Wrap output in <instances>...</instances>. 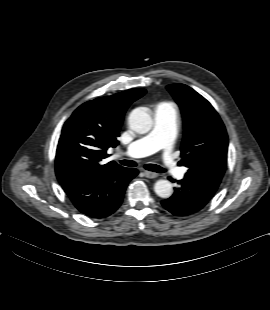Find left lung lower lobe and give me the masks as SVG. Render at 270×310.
I'll list each match as a JSON object with an SVG mask.
<instances>
[{
	"instance_id": "left-lung-lower-lobe-1",
	"label": "left lung lower lobe",
	"mask_w": 270,
	"mask_h": 310,
	"mask_svg": "<svg viewBox=\"0 0 270 310\" xmlns=\"http://www.w3.org/2000/svg\"><path fill=\"white\" fill-rule=\"evenodd\" d=\"M174 181L173 179H170ZM219 180L185 174L174 194L162 201L163 207L176 216H188L202 210L214 196Z\"/></svg>"
}]
</instances>
